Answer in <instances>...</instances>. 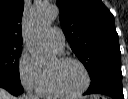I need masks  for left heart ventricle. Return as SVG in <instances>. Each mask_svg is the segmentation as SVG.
I'll return each mask as SVG.
<instances>
[{
  "label": "left heart ventricle",
  "instance_id": "obj_1",
  "mask_svg": "<svg viewBox=\"0 0 128 99\" xmlns=\"http://www.w3.org/2000/svg\"><path fill=\"white\" fill-rule=\"evenodd\" d=\"M55 75L59 87L66 92H76L85 84V75L76 63L60 64L56 60L49 68Z\"/></svg>",
  "mask_w": 128,
  "mask_h": 99
}]
</instances>
